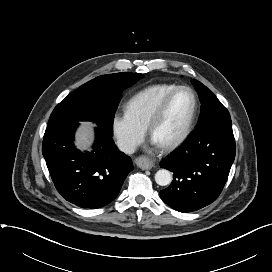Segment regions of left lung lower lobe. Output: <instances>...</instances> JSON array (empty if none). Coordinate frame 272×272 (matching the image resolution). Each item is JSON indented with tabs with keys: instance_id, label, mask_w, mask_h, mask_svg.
<instances>
[{
	"instance_id": "left-lung-lower-lobe-1",
	"label": "left lung lower lobe",
	"mask_w": 272,
	"mask_h": 272,
	"mask_svg": "<svg viewBox=\"0 0 272 272\" xmlns=\"http://www.w3.org/2000/svg\"><path fill=\"white\" fill-rule=\"evenodd\" d=\"M231 119L196 128L160 166L173 172L162 200L179 212L199 210L220 195L235 158Z\"/></svg>"
}]
</instances>
